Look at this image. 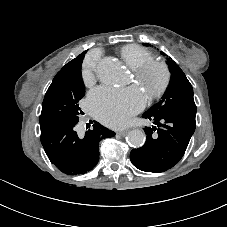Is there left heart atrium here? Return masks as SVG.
<instances>
[{
  "mask_svg": "<svg viewBox=\"0 0 227 227\" xmlns=\"http://www.w3.org/2000/svg\"><path fill=\"white\" fill-rule=\"evenodd\" d=\"M145 104V97L132 90L99 87L87 99L89 111L110 127L124 126Z\"/></svg>",
  "mask_w": 227,
  "mask_h": 227,
  "instance_id": "1",
  "label": "left heart atrium"
}]
</instances>
